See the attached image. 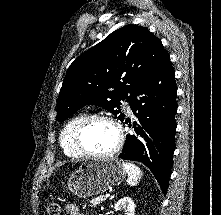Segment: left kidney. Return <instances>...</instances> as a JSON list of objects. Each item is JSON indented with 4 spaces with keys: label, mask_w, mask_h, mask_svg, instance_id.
<instances>
[{
    "label": "left kidney",
    "mask_w": 221,
    "mask_h": 215,
    "mask_svg": "<svg viewBox=\"0 0 221 215\" xmlns=\"http://www.w3.org/2000/svg\"><path fill=\"white\" fill-rule=\"evenodd\" d=\"M116 211H125V215H135V205L131 198L124 197L120 199L114 206Z\"/></svg>",
    "instance_id": "obj_1"
}]
</instances>
